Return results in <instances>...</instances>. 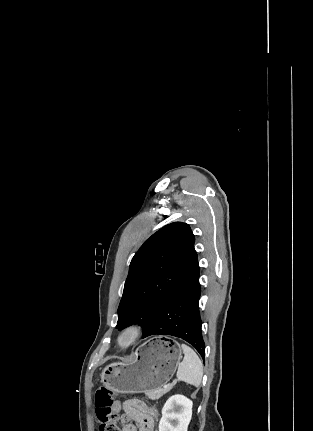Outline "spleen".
<instances>
[{"instance_id":"3e777b00","label":"spleen","mask_w":313,"mask_h":431,"mask_svg":"<svg viewBox=\"0 0 313 431\" xmlns=\"http://www.w3.org/2000/svg\"><path fill=\"white\" fill-rule=\"evenodd\" d=\"M181 348L184 358L178 366L177 378L198 388L202 382L203 364L192 348L186 344H182Z\"/></svg>"}]
</instances>
